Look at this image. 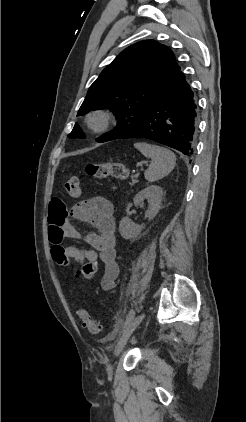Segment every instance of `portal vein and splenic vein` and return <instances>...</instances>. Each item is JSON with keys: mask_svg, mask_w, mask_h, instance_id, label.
<instances>
[{"mask_svg": "<svg viewBox=\"0 0 246 422\" xmlns=\"http://www.w3.org/2000/svg\"><path fill=\"white\" fill-rule=\"evenodd\" d=\"M138 176H139V173H136V174H135V177H138Z\"/></svg>", "mask_w": 246, "mask_h": 422, "instance_id": "portal-vein-and-splenic-vein-1", "label": "portal vein and splenic vein"}]
</instances>
